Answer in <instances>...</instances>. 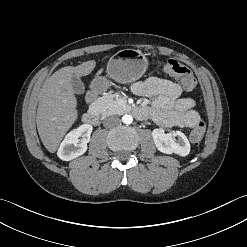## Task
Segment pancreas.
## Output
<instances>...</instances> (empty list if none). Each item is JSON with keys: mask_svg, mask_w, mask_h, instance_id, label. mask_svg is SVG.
Here are the masks:
<instances>
[{"mask_svg": "<svg viewBox=\"0 0 247 247\" xmlns=\"http://www.w3.org/2000/svg\"><path fill=\"white\" fill-rule=\"evenodd\" d=\"M114 98V94H112L111 92L106 93L102 97H99L94 102L97 113L102 116L121 113L124 110L125 105L118 104V102Z\"/></svg>", "mask_w": 247, "mask_h": 247, "instance_id": "1", "label": "pancreas"}]
</instances>
